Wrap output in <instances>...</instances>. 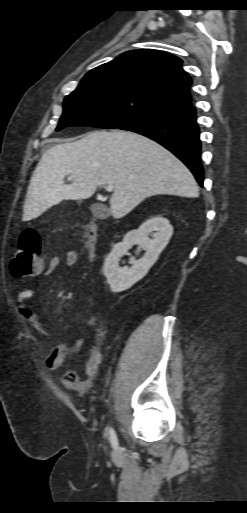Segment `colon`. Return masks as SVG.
Listing matches in <instances>:
<instances>
[{
	"label": "colon",
	"instance_id": "colon-1",
	"mask_svg": "<svg viewBox=\"0 0 247 513\" xmlns=\"http://www.w3.org/2000/svg\"><path fill=\"white\" fill-rule=\"evenodd\" d=\"M40 237L36 230H24L18 240L17 249L10 270L15 278L26 277L41 268L39 259Z\"/></svg>",
	"mask_w": 247,
	"mask_h": 513
}]
</instances>
